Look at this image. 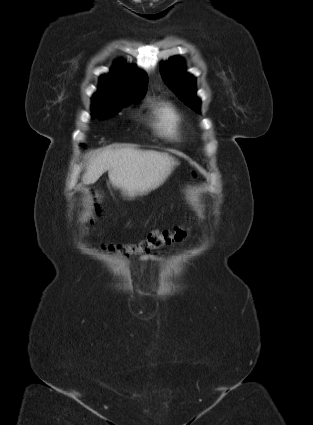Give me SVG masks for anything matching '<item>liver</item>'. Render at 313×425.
Returning <instances> with one entry per match:
<instances>
[{
    "label": "liver",
    "instance_id": "obj_1",
    "mask_svg": "<svg viewBox=\"0 0 313 425\" xmlns=\"http://www.w3.org/2000/svg\"><path fill=\"white\" fill-rule=\"evenodd\" d=\"M167 153L134 148L106 149L93 157L83 176L85 184H94L108 171L109 182L122 195H146L161 186L178 165Z\"/></svg>",
    "mask_w": 313,
    "mask_h": 425
}]
</instances>
